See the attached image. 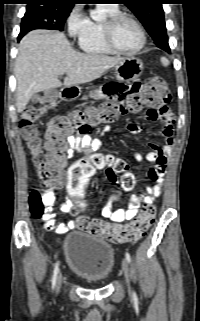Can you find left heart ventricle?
Returning a JSON list of instances; mask_svg holds the SVG:
<instances>
[{
    "instance_id": "1",
    "label": "left heart ventricle",
    "mask_w": 200,
    "mask_h": 321,
    "mask_svg": "<svg viewBox=\"0 0 200 321\" xmlns=\"http://www.w3.org/2000/svg\"><path fill=\"white\" fill-rule=\"evenodd\" d=\"M115 41L122 50L132 51L140 45L141 36L134 23L124 19L115 29Z\"/></svg>"
}]
</instances>
